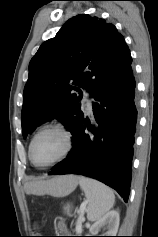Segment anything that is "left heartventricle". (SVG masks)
<instances>
[{
	"mask_svg": "<svg viewBox=\"0 0 158 237\" xmlns=\"http://www.w3.org/2000/svg\"><path fill=\"white\" fill-rule=\"evenodd\" d=\"M65 148V139L57 131L40 134L33 145L32 155L37 164L43 165L56 159Z\"/></svg>",
	"mask_w": 158,
	"mask_h": 237,
	"instance_id": "1",
	"label": "left heart ventricle"
}]
</instances>
